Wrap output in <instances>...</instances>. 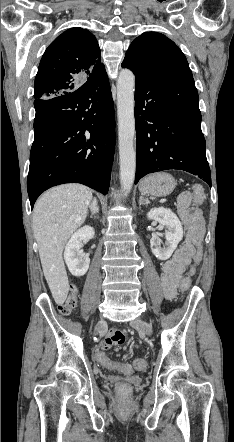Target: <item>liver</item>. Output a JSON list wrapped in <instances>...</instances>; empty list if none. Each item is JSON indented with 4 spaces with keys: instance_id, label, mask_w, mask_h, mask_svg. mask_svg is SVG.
<instances>
[{
    "instance_id": "6515ba94",
    "label": "liver",
    "mask_w": 234,
    "mask_h": 442,
    "mask_svg": "<svg viewBox=\"0 0 234 442\" xmlns=\"http://www.w3.org/2000/svg\"><path fill=\"white\" fill-rule=\"evenodd\" d=\"M91 200L90 188L72 183L48 190L34 206L33 232L44 276L58 305L65 302L69 291L63 248L73 232L84 223Z\"/></svg>"
}]
</instances>
